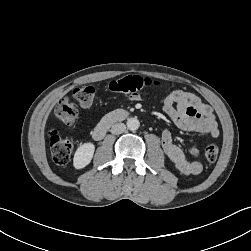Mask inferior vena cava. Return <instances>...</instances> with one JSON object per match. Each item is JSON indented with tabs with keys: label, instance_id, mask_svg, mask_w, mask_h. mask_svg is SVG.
<instances>
[{
	"label": "inferior vena cava",
	"instance_id": "obj_1",
	"mask_svg": "<svg viewBox=\"0 0 251 251\" xmlns=\"http://www.w3.org/2000/svg\"><path fill=\"white\" fill-rule=\"evenodd\" d=\"M126 130V125L124 123H116L111 128V133L118 135Z\"/></svg>",
	"mask_w": 251,
	"mask_h": 251
}]
</instances>
